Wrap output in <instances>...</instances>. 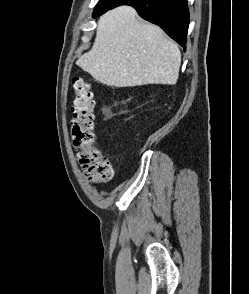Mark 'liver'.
<instances>
[{"instance_id":"liver-1","label":"liver","mask_w":249,"mask_h":294,"mask_svg":"<svg viewBox=\"0 0 249 294\" xmlns=\"http://www.w3.org/2000/svg\"><path fill=\"white\" fill-rule=\"evenodd\" d=\"M77 63L108 86L173 85L181 52L162 29L138 20L132 7L121 6L100 17L93 47Z\"/></svg>"}]
</instances>
